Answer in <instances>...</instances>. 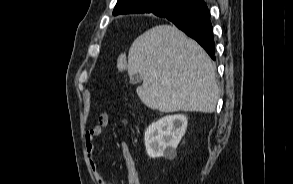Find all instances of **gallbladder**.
Listing matches in <instances>:
<instances>
[{
    "label": "gallbladder",
    "instance_id": "1",
    "mask_svg": "<svg viewBox=\"0 0 293 184\" xmlns=\"http://www.w3.org/2000/svg\"><path fill=\"white\" fill-rule=\"evenodd\" d=\"M142 81V77L139 73H136L130 77V82L132 84H138Z\"/></svg>",
    "mask_w": 293,
    "mask_h": 184
}]
</instances>
